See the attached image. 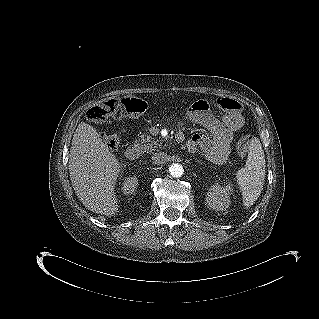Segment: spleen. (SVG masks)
<instances>
[{
    "label": "spleen",
    "mask_w": 319,
    "mask_h": 319,
    "mask_svg": "<svg viewBox=\"0 0 319 319\" xmlns=\"http://www.w3.org/2000/svg\"><path fill=\"white\" fill-rule=\"evenodd\" d=\"M244 205H252L260 196L265 180V156L259 139L251 141L245 167L237 174Z\"/></svg>",
    "instance_id": "spleen-1"
}]
</instances>
